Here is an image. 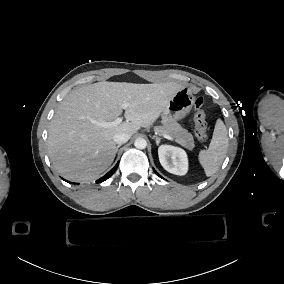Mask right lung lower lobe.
<instances>
[{
    "label": "right lung lower lobe",
    "instance_id": "right-lung-lower-lobe-1",
    "mask_svg": "<svg viewBox=\"0 0 284 284\" xmlns=\"http://www.w3.org/2000/svg\"><path fill=\"white\" fill-rule=\"evenodd\" d=\"M118 164L119 162L106 174L104 175L102 178L98 179L96 182L99 183V182H102L104 180H107L109 177L112 176V174L115 172V170L117 169L118 167ZM66 181V180H65ZM68 182V181H67Z\"/></svg>",
    "mask_w": 284,
    "mask_h": 284
}]
</instances>
